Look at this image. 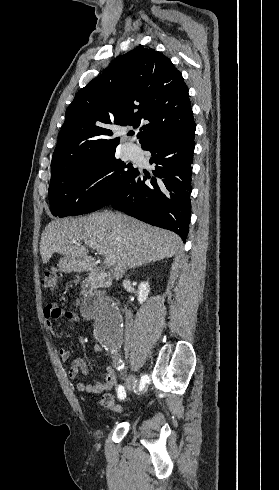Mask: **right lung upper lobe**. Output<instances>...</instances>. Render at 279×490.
Masks as SVG:
<instances>
[{
	"label": "right lung upper lobe",
	"mask_w": 279,
	"mask_h": 490,
	"mask_svg": "<svg viewBox=\"0 0 279 490\" xmlns=\"http://www.w3.org/2000/svg\"><path fill=\"white\" fill-rule=\"evenodd\" d=\"M145 147L195 124L181 72L161 52L136 48L118 56L80 89L66 112L51 162V179L119 144L109 125H133Z\"/></svg>",
	"instance_id": "right-lung-upper-lobe-1"
}]
</instances>
